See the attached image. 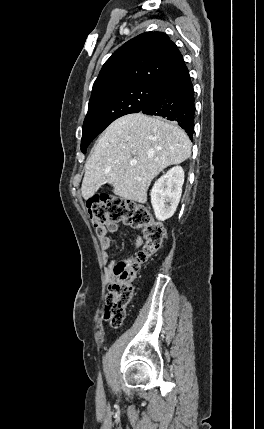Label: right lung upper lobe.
<instances>
[{"instance_id": "right-lung-upper-lobe-1", "label": "right lung upper lobe", "mask_w": 264, "mask_h": 429, "mask_svg": "<svg viewBox=\"0 0 264 429\" xmlns=\"http://www.w3.org/2000/svg\"><path fill=\"white\" fill-rule=\"evenodd\" d=\"M182 61L177 46L165 33L140 34L105 62L94 82L90 100L132 85H158Z\"/></svg>"}]
</instances>
